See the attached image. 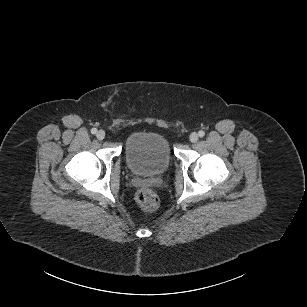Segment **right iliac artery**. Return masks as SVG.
I'll list each match as a JSON object with an SVG mask.
<instances>
[{
  "mask_svg": "<svg viewBox=\"0 0 307 307\" xmlns=\"http://www.w3.org/2000/svg\"><path fill=\"white\" fill-rule=\"evenodd\" d=\"M91 133H92V134H96V133H97V129H96V128H92V129H91Z\"/></svg>",
  "mask_w": 307,
  "mask_h": 307,
  "instance_id": "82829eb1",
  "label": "right iliac artery"
}]
</instances>
